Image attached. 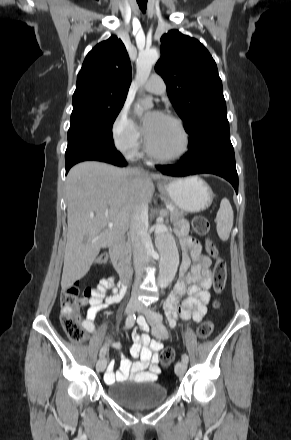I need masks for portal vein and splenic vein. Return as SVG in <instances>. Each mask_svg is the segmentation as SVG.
Masks as SVG:
<instances>
[{"instance_id": "18ae733b", "label": "portal vein and splenic vein", "mask_w": 291, "mask_h": 440, "mask_svg": "<svg viewBox=\"0 0 291 440\" xmlns=\"http://www.w3.org/2000/svg\"><path fill=\"white\" fill-rule=\"evenodd\" d=\"M167 207V209L170 211V212H173L174 211V208L172 207V206H166ZM113 223L112 222H110V223H108V227H110V228H112L113 227Z\"/></svg>"}]
</instances>
